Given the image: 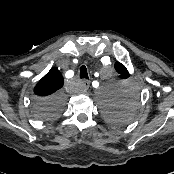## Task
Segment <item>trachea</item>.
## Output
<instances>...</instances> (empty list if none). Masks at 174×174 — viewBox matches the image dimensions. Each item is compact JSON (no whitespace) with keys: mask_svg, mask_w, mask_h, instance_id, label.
Returning <instances> with one entry per match:
<instances>
[{"mask_svg":"<svg viewBox=\"0 0 174 174\" xmlns=\"http://www.w3.org/2000/svg\"><path fill=\"white\" fill-rule=\"evenodd\" d=\"M80 78H85V79H89L88 73H87V69L85 66H81L80 67Z\"/></svg>","mask_w":174,"mask_h":174,"instance_id":"1","label":"trachea"}]
</instances>
